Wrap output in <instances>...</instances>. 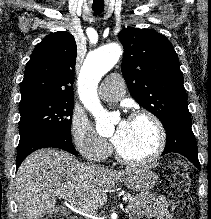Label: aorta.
Here are the masks:
<instances>
[{"label":"aorta","instance_id":"aorta-1","mask_svg":"<svg viewBox=\"0 0 211 219\" xmlns=\"http://www.w3.org/2000/svg\"><path fill=\"white\" fill-rule=\"evenodd\" d=\"M121 47L108 44L91 52L79 74V93L84 105L96 118V130L101 136H110L114 131L116 117L108 114L97 99V86L102 78L119 60Z\"/></svg>","mask_w":211,"mask_h":219}]
</instances>
